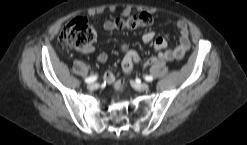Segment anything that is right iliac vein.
Here are the masks:
<instances>
[{
  "label": "right iliac vein",
  "instance_id": "1",
  "mask_svg": "<svg viewBox=\"0 0 247 145\" xmlns=\"http://www.w3.org/2000/svg\"><path fill=\"white\" fill-rule=\"evenodd\" d=\"M98 84L97 83H91V84H88L87 85V88L89 89V90H96L97 88H98Z\"/></svg>",
  "mask_w": 247,
  "mask_h": 145
}]
</instances>
